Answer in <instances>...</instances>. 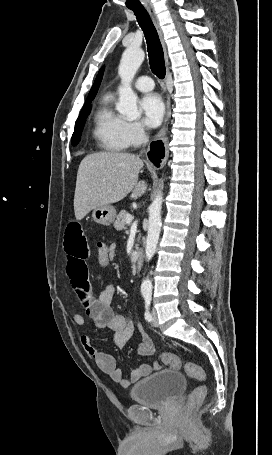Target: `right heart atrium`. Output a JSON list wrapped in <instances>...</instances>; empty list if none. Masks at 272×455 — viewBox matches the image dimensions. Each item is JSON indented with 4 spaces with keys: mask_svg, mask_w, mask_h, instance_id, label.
<instances>
[{
    "mask_svg": "<svg viewBox=\"0 0 272 455\" xmlns=\"http://www.w3.org/2000/svg\"><path fill=\"white\" fill-rule=\"evenodd\" d=\"M124 136L128 146L136 147L147 140V132L144 126L138 121H125Z\"/></svg>",
    "mask_w": 272,
    "mask_h": 455,
    "instance_id": "d8ad5b80",
    "label": "right heart atrium"
}]
</instances>
